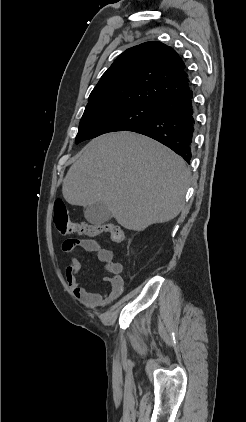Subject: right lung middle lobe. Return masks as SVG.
Instances as JSON below:
<instances>
[{
	"mask_svg": "<svg viewBox=\"0 0 246 422\" xmlns=\"http://www.w3.org/2000/svg\"><path fill=\"white\" fill-rule=\"evenodd\" d=\"M157 115V105L134 101L103 103L85 108L79 124L76 143L99 135L128 131Z\"/></svg>",
	"mask_w": 246,
	"mask_h": 422,
	"instance_id": "obj_1",
	"label": "right lung middle lobe"
}]
</instances>
